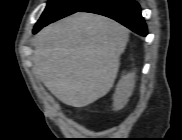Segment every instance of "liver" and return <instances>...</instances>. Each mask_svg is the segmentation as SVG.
Wrapping results in <instances>:
<instances>
[{"label":"liver","mask_w":182,"mask_h":140,"mask_svg":"<svg viewBox=\"0 0 182 140\" xmlns=\"http://www.w3.org/2000/svg\"><path fill=\"white\" fill-rule=\"evenodd\" d=\"M128 37L112 19L75 13L35 36L34 71L61 102L86 107L112 88Z\"/></svg>","instance_id":"1"}]
</instances>
